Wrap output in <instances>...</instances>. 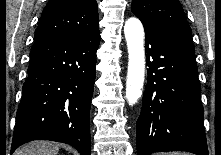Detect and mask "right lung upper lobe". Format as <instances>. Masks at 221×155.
Returning a JSON list of instances; mask_svg holds the SVG:
<instances>
[{
	"label": "right lung upper lobe",
	"mask_w": 221,
	"mask_h": 155,
	"mask_svg": "<svg viewBox=\"0 0 221 155\" xmlns=\"http://www.w3.org/2000/svg\"><path fill=\"white\" fill-rule=\"evenodd\" d=\"M96 29V0H50L42 12L35 40L84 34Z\"/></svg>",
	"instance_id": "1"
}]
</instances>
